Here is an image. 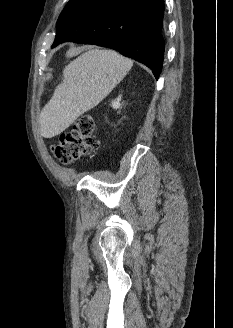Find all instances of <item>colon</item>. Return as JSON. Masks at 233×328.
I'll return each mask as SVG.
<instances>
[{
  "label": "colon",
  "mask_w": 233,
  "mask_h": 328,
  "mask_svg": "<svg viewBox=\"0 0 233 328\" xmlns=\"http://www.w3.org/2000/svg\"><path fill=\"white\" fill-rule=\"evenodd\" d=\"M94 120L89 115L80 116L68 131L61 133L53 147V156L63 164H69L94 152Z\"/></svg>",
  "instance_id": "1"
}]
</instances>
